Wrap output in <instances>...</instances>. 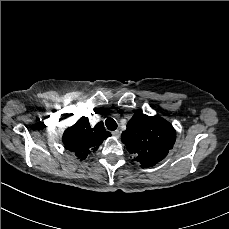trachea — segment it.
Wrapping results in <instances>:
<instances>
[{"label": "trachea", "mask_w": 229, "mask_h": 229, "mask_svg": "<svg viewBox=\"0 0 229 229\" xmlns=\"http://www.w3.org/2000/svg\"><path fill=\"white\" fill-rule=\"evenodd\" d=\"M105 125H106L107 129H109L111 131H115L117 129L116 121L110 117L106 119Z\"/></svg>", "instance_id": "obj_1"}]
</instances>
